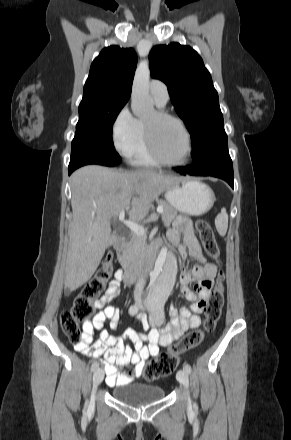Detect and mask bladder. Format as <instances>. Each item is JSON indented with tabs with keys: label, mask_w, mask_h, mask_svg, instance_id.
I'll list each match as a JSON object with an SVG mask.
<instances>
[{
	"label": "bladder",
	"mask_w": 291,
	"mask_h": 440,
	"mask_svg": "<svg viewBox=\"0 0 291 440\" xmlns=\"http://www.w3.org/2000/svg\"><path fill=\"white\" fill-rule=\"evenodd\" d=\"M114 399L132 405H146L164 398L165 391L154 384L129 383L112 389Z\"/></svg>",
	"instance_id": "obj_1"
}]
</instances>
